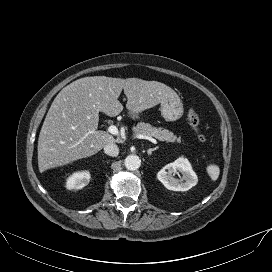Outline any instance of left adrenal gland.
Returning a JSON list of instances; mask_svg holds the SVG:
<instances>
[{
	"instance_id": "1",
	"label": "left adrenal gland",
	"mask_w": 272,
	"mask_h": 272,
	"mask_svg": "<svg viewBox=\"0 0 272 272\" xmlns=\"http://www.w3.org/2000/svg\"><path fill=\"white\" fill-rule=\"evenodd\" d=\"M158 147H155V148H150L148 151H147V154L148 155H152V152H154L155 150H157Z\"/></svg>"
}]
</instances>
